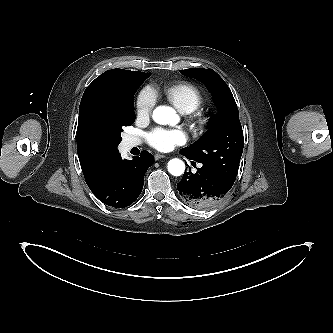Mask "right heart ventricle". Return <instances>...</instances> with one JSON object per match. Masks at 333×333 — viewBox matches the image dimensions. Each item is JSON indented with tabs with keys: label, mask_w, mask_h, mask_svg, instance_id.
Returning a JSON list of instances; mask_svg holds the SVG:
<instances>
[{
	"label": "right heart ventricle",
	"mask_w": 333,
	"mask_h": 333,
	"mask_svg": "<svg viewBox=\"0 0 333 333\" xmlns=\"http://www.w3.org/2000/svg\"><path fill=\"white\" fill-rule=\"evenodd\" d=\"M169 101L182 113L196 110L203 101L200 90L191 83H178L165 90Z\"/></svg>",
	"instance_id": "1"
}]
</instances>
